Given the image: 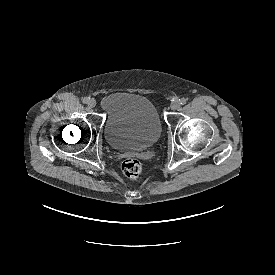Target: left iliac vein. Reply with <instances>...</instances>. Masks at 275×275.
Masks as SVG:
<instances>
[{"mask_svg": "<svg viewBox=\"0 0 275 275\" xmlns=\"http://www.w3.org/2000/svg\"><path fill=\"white\" fill-rule=\"evenodd\" d=\"M180 102L178 100H175L171 103L170 107L172 110H178L180 108Z\"/></svg>", "mask_w": 275, "mask_h": 275, "instance_id": "1", "label": "left iliac vein"}]
</instances>
